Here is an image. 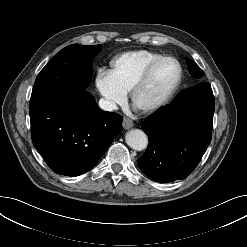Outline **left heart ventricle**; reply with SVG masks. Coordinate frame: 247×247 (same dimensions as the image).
I'll return each mask as SVG.
<instances>
[{
	"mask_svg": "<svg viewBox=\"0 0 247 247\" xmlns=\"http://www.w3.org/2000/svg\"><path fill=\"white\" fill-rule=\"evenodd\" d=\"M177 73L178 69L173 61H161L138 93L135 101L136 106L143 108L160 99L174 83Z\"/></svg>",
	"mask_w": 247,
	"mask_h": 247,
	"instance_id": "left-heart-ventricle-1",
	"label": "left heart ventricle"
}]
</instances>
